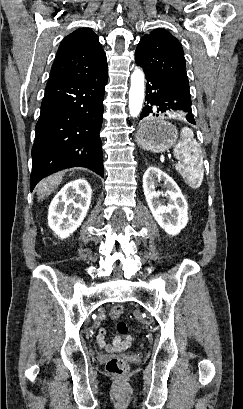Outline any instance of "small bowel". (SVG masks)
I'll list each match as a JSON object with an SVG mask.
<instances>
[{"instance_id": "small-bowel-1", "label": "small bowel", "mask_w": 243, "mask_h": 409, "mask_svg": "<svg viewBox=\"0 0 243 409\" xmlns=\"http://www.w3.org/2000/svg\"><path fill=\"white\" fill-rule=\"evenodd\" d=\"M107 333L106 327H100L96 336L100 348L105 349L109 353H115L125 350L130 347L132 338L130 336H118L111 344H107L105 336Z\"/></svg>"}]
</instances>
